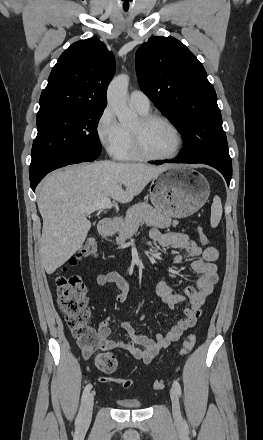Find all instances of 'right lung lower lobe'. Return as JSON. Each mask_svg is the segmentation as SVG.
I'll use <instances>...</instances> for the list:
<instances>
[{
    "mask_svg": "<svg viewBox=\"0 0 263 440\" xmlns=\"http://www.w3.org/2000/svg\"><path fill=\"white\" fill-rule=\"evenodd\" d=\"M101 152V146H93L90 147L88 149H85L83 151V156L82 159L79 160L77 163H81V162H88V161H92L95 160ZM70 164H74V162H70L67 161L65 158H61L58 161L52 163L46 170L40 172L39 174L30 177V184H31V188L33 191H35L36 186L38 185V183L51 171L66 166V165H70Z\"/></svg>",
    "mask_w": 263,
    "mask_h": 440,
    "instance_id": "right-lung-lower-lobe-1",
    "label": "right lung lower lobe"
}]
</instances>
